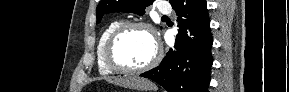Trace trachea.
Masks as SVG:
<instances>
[{
  "mask_svg": "<svg viewBox=\"0 0 289 92\" xmlns=\"http://www.w3.org/2000/svg\"><path fill=\"white\" fill-rule=\"evenodd\" d=\"M162 17H163V18H167V16H165V15H164V16H162Z\"/></svg>",
  "mask_w": 289,
  "mask_h": 92,
  "instance_id": "trachea-1",
  "label": "trachea"
}]
</instances>
